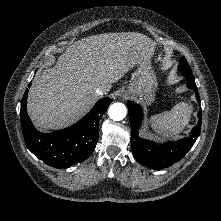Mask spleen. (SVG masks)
<instances>
[{"mask_svg": "<svg viewBox=\"0 0 221 221\" xmlns=\"http://www.w3.org/2000/svg\"><path fill=\"white\" fill-rule=\"evenodd\" d=\"M193 107L185 102L176 104L170 111L152 115L151 126L164 137H171L181 132L189 123Z\"/></svg>", "mask_w": 221, "mask_h": 221, "instance_id": "spleen-1", "label": "spleen"}]
</instances>
